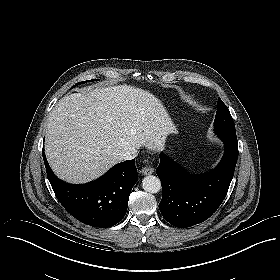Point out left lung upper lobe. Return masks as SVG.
<instances>
[{
	"instance_id": "left-lung-upper-lobe-1",
	"label": "left lung upper lobe",
	"mask_w": 280,
	"mask_h": 280,
	"mask_svg": "<svg viewBox=\"0 0 280 280\" xmlns=\"http://www.w3.org/2000/svg\"><path fill=\"white\" fill-rule=\"evenodd\" d=\"M217 106L218 108L214 120L216 135L220 138L237 140L233 118L228 108L220 98L218 99Z\"/></svg>"
}]
</instances>
